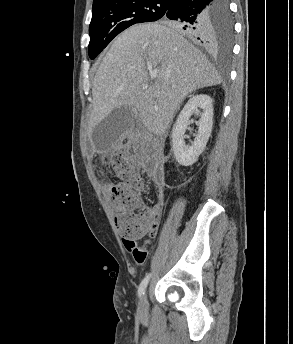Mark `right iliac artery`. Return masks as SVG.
I'll list each match as a JSON object with an SVG mask.
<instances>
[{
	"label": "right iliac artery",
	"instance_id": "1",
	"mask_svg": "<svg viewBox=\"0 0 293 344\" xmlns=\"http://www.w3.org/2000/svg\"><path fill=\"white\" fill-rule=\"evenodd\" d=\"M149 278H150V274H148L143 280L142 282L140 283V286H139V289H138V295L141 297L144 292H145V289L147 287V284H148V281H149Z\"/></svg>",
	"mask_w": 293,
	"mask_h": 344
}]
</instances>
